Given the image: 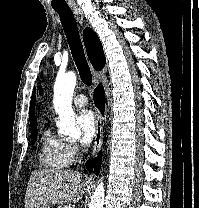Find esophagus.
Segmentation results:
<instances>
[{"mask_svg": "<svg viewBox=\"0 0 199 208\" xmlns=\"http://www.w3.org/2000/svg\"><path fill=\"white\" fill-rule=\"evenodd\" d=\"M73 12L81 26H83L84 23V17L82 10L80 8L74 7ZM98 85V79H93V89H96ZM95 121H96V133H95V140L94 145L92 149V156L94 157L100 150L101 144H102V138H103V125H102V118L99 110L95 107Z\"/></svg>", "mask_w": 199, "mask_h": 208, "instance_id": "esophagus-1", "label": "esophagus"}]
</instances>
